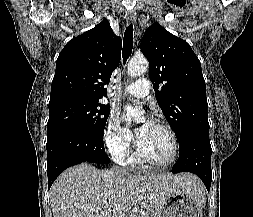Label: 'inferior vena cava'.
<instances>
[{"label": "inferior vena cava", "mask_w": 253, "mask_h": 217, "mask_svg": "<svg viewBox=\"0 0 253 217\" xmlns=\"http://www.w3.org/2000/svg\"><path fill=\"white\" fill-rule=\"evenodd\" d=\"M111 170L112 171H115V172H120V173H127V170L126 169H124V168H119V167H117V166H113L112 168H111Z\"/></svg>", "instance_id": "1"}]
</instances>
